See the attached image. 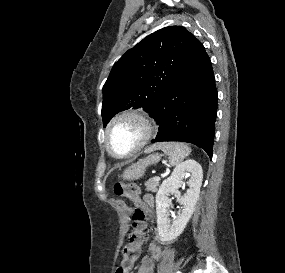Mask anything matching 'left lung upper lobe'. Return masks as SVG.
<instances>
[{"label": "left lung upper lobe", "instance_id": "1", "mask_svg": "<svg viewBox=\"0 0 285 273\" xmlns=\"http://www.w3.org/2000/svg\"><path fill=\"white\" fill-rule=\"evenodd\" d=\"M193 35L184 27L160 29L128 50L103 86L104 127L120 111L144 108L150 115L177 77Z\"/></svg>", "mask_w": 285, "mask_h": 273}]
</instances>
